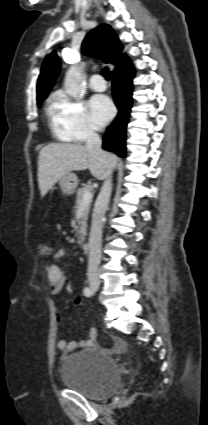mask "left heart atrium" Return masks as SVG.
Segmentation results:
<instances>
[{"label":"left heart atrium","mask_w":208,"mask_h":425,"mask_svg":"<svg viewBox=\"0 0 208 425\" xmlns=\"http://www.w3.org/2000/svg\"><path fill=\"white\" fill-rule=\"evenodd\" d=\"M90 118L96 127H103L114 115L115 108L110 99L103 95L92 97L89 103Z\"/></svg>","instance_id":"1"}]
</instances>
